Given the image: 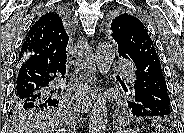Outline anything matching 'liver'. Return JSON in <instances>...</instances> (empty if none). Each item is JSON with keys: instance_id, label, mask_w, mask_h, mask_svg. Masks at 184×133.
<instances>
[{"instance_id": "obj_1", "label": "liver", "mask_w": 184, "mask_h": 133, "mask_svg": "<svg viewBox=\"0 0 184 133\" xmlns=\"http://www.w3.org/2000/svg\"><path fill=\"white\" fill-rule=\"evenodd\" d=\"M9 133H65L58 117L48 112L22 115L13 122Z\"/></svg>"}]
</instances>
